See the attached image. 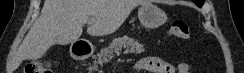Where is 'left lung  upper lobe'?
<instances>
[{"mask_svg":"<svg viewBox=\"0 0 244 73\" xmlns=\"http://www.w3.org/2000/svg\"><path fill=\"white\" fill-rule=\"evenodd\" d=\"M195 2L196 5H198L199 7H201L204 3V0H193Z\"/></svg>","mask_w":244,"mask_h":73,"instance_id":"left-lung-upper-lobe-1","label":"left lung upper lobe"}]
</instances>
